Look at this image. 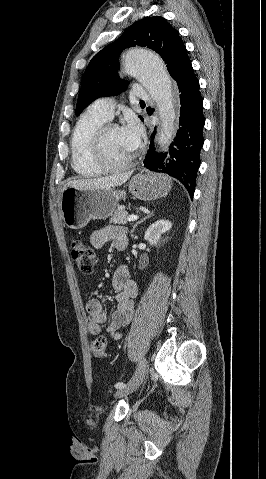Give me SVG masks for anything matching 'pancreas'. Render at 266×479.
Instances as JSON below:
<instances>
[{
  "label": "pancreas",
  "mask_w": 266,
  "mask_h": 479,
  "mask_svg": "<svg viewBox=\"0 0 266 479\" xmlns=\"http://www.w3.org/2000/svg\"><path fill=\"white\" fill-rule=\"evenodd\" d=\"M128 212L122 209H117L114 213V215L110 219V223L113 224H126L127 223V217H128Z\"/></svg>",
  "instance_id": "1"
}]
</instances>
